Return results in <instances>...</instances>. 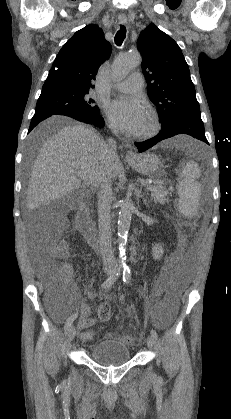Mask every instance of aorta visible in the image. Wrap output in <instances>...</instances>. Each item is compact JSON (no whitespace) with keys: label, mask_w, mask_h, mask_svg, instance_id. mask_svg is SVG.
<instances>
[{"label":"aorta","mask_w":231,"mask_h":419,"mask_svg":"<svg viewBox=\"0 0 231 419\" xmlns=\"http://www.w3.org/2000/svg\"><path fill=\"white\" fill-rule=\"evenodd\" d=\"M141 61L142 59L139 53L120 55L113 62L112 74L115 78H124L133 68L140 65ZM133 209V202L127 197L122 202L118 216V238L121 255L124 254V245L130 228Z\"/></svg>","instance_id":"obj_1"}]
</instances>
